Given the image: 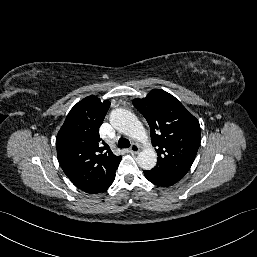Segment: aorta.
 <instances>
[{
  "label": "aorta",
  "instance_id": "obj_1",
  "mask_svg": "<svg viewBox=\"0 0 257 257\" xmlns=\"http://www.w3.org/2000/svg\"><path fill=\"white\" fill-rule=\"evenodd\" d=\"M110 123L125 135L144 144V149L138 154L136 161L144 170H151L157 162V154L149 142L148 134L142 123L129 110L118 108L111 112Z\"/></svg>",
  "mask_w": 257,
  "mask_h": 257
}]
</instances>
